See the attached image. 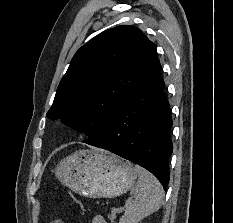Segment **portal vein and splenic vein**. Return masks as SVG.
<instances>
[{"label": "portal vein and splenic vein", "mask_w": 233, "mask_h": 223, "mask_svg": "<svg viewBox=\"0 0 233 223\" xmlns=\"http://www.w3.org/2000/svg\"><path fill=\"white\" fill-rule=\"evenodd\" d=\"M122 209H124V207H120V209H118V211H122Z\"/></svg>", "instance_id": "18ae733b"}]
</instances>
